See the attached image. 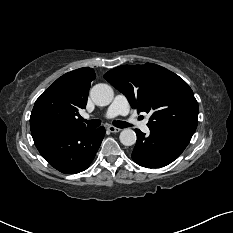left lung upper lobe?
<instances>
[{"instance_id":"5c2ea615","label":"left lung upper lobe","mask_w":233,"mask_h":233,"mask_svg":"<svg viewBox=\"0 0 233 233\" xmlns=\"http://www.w3.org/2000/svg\"><path fill=\"white\" fill-rule=\"evenodd\" d=\"M104 78L123 93L138 112H152L150 130L174 131L192 136L198 123V103L189 85L156 64L123 65Z\"/></svg>"}]
</instances>
